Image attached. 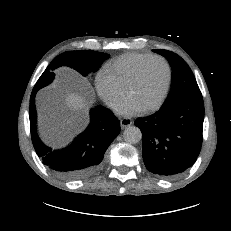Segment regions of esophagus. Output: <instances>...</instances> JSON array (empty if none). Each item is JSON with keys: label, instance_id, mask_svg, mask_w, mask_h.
<instances>
[{"label": "esophagus", "instance_id": "1", "mask_svg": "<svg viewBox=\"0 0 231 231\" xmlns=\"http://www.w3.org/2000/svg\"><path fill=\"white\" fill-rule=\"evenodd\" d=\"M132 123H133L132 119L127 118V117L122 118L120 120V125L122 129H125L126 127L130 126Z\"/></svg>", "mask_w": 231, "mask_h": 231}]
</instances>
